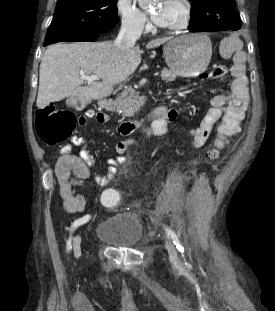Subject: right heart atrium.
I'll use <instances>...</instances> for the list:
<instances>
[{"label": "right heart atrium", "instance_id": "1", "mask_svg": "<svg viewBox=\"0 0 275 311\" xmlns=\"http://www.w3.org/2000/svg\"><path fill=\"white\" fill-rule=\"evenodd\" d=\"M116 10L123 28L135 33H142L149 28L146 14L134 0H116Z\"/></svg>", "mask_w": 275, "mask_h": 311}]
</instances>
